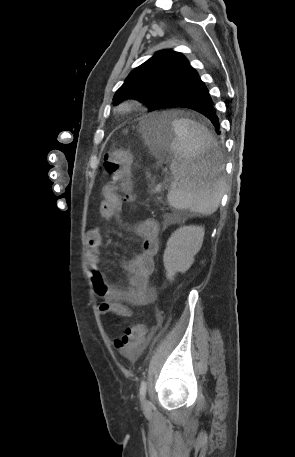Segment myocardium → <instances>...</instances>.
<instances>
[{"label":"myocardium","instance_id":"1","mask_svg":"<svg viewBox=\"0 0 295 457\" xmlns=\"http://www.w3.org/2000/svg\"><path fill=\"white\" fill-rule=\"evenodd\" d=\"M135 108V102L132 100H127L121 103L118 107V110L123 113H128Z\"/></svg>","mask_w":295,"mask_h":457}]
</instances>
